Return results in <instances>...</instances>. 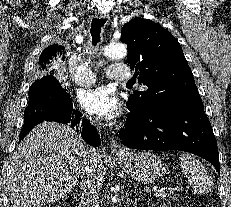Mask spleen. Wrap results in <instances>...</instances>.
Returning <instances> with one entry per match:
<instances>
[{
	"mask_svg": "<svg viewBox=\"0 0 231 207\" xmlns=\"http://www.w3.org/2000/svg\"><path fill=\"white\" fill-rule=\"evenodd\" d=\"M179 159L182 171L192 184L194 193L210 192L214 183L203 164L188 153L181 154Z\"/></svg>",
	"mask_w": 231,
	"mask_h": 207,
	"instance_id": "spleen-1",
	"label": "spleen"
}]
</instances>
